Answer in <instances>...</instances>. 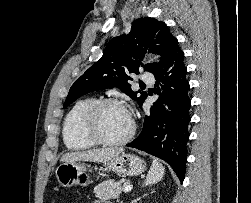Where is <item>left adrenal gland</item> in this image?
Instances as JSON below:
<instances>
[{
  "instance_id": "obj_1",
  "label": "left adrenal gland",
  "mask_w": 251,
  "mask_h": 203,
  "mask_svg": "<svg viewBox=\"0 0 251 203\" xmlns=\"http://www.w3.org/2000/svg\"><path fill=\"white\" fill-rule=\"evenodd\" d=\"M153 192H154V190L151 193H153ZM145 196H147V194H144L142 197H138L137 199H134L131 203H137V201H139L141 198H143Z\"/></svg>"
}]
</instances>
